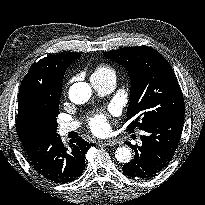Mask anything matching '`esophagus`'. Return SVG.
Masks as SVG:
<instances>
[{"mask_svg":"<svg viewBox=\"0 0 205 205\" xmlns=\"http://www.w3.org/2000/svg\"><path fill=\"white\" fill-rule=\"evenodd\" d=\"M99 143L105 146H114L117 145L118 142L116 140H104L100 141Z\"/></svg>","mask_w":205,"mask_h":205,"instance_id":"obj_1","label":"esophagus"}]
</instances>
